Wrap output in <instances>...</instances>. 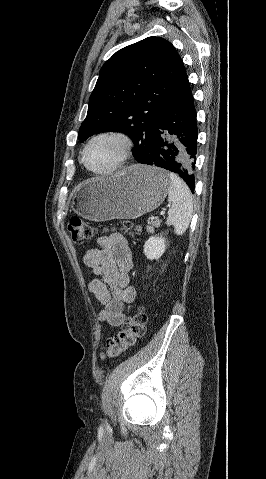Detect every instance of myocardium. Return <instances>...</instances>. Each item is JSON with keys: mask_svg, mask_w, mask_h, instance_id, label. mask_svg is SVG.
Masks as SVG:
<instances>
[{"mask_svg": "<svg viewBox=\"0 0 266 479\" xmlns=\"http://www.w3.org/2000/svg\"><path fill=\"white\" fill-rule=\"evenodd\" d=\"M105 138L115 139L116 141H118L120 143V146H121L120 154H119V157H118L116 163L112 167H110L109 169H106V170H96V169H93L88 164L87 153H88V150L92 146L93 143H95L98 140L105 139ZM131 148H132V140L127 134H125L123 132H120V131H116V130L103 131V132H100V133L94 135L93 137H91L88 140V142L86 143V145L83 149V152H82V162H83L84 166L90 172H92L93 174L108 175V174H111V173H114V172L118 171L124 165V163L126 162V160L128 159V157L130 155Z\"/></svg>", "mask_w": 266, "mask_h": 479, "instance_id": "f54148a6", "label": "myocardium"}]
</instances>
